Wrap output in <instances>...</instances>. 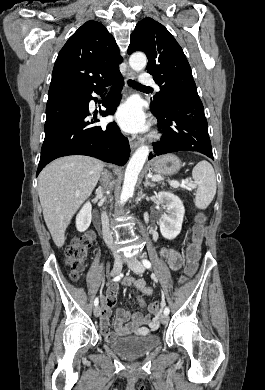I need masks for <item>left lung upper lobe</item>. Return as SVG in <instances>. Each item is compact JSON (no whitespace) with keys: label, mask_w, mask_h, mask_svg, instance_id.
Returning <instances> with one entry per match:
<instances>
[{"label":"left lung upper lobe","mask_w":265,"mask_h":390,"mask_svg":"<svg viewBox=\"0 0 265 390\" xmlns=\"http://www.w3.org/2000/svg\"><path fill=\"white\" fill-rule=\"evenodd\" d=\"M143 51L148 58L147 72L160 86L151 105L161 109L169 95L197 93L187 58L170 32L152 18L138 22L131 34L128 54Z\"/></svg>","instance_id":"obj_1"}]
</instances>
